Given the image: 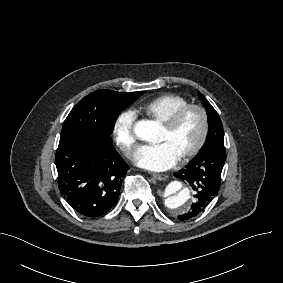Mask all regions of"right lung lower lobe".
<instances>
[{
    "instance_id": "right-lung-lower-lobe-1",
    "label": "right lung lower lobe",
    "mask_w": 283,
    "mask_h": 283,
    "mask_svg": "<svg viewBox=\"0 0 283 283\" xmlns=\"http://www.w3.org/2000/svg\"><path fill=\"white\" fill-rule=\"evenodd\" d=\"M55 163L61 194L87 218L102 216L116 204L129 169L112 143L81 134L60 137Z\"/></svg>"
}]
</instances>
